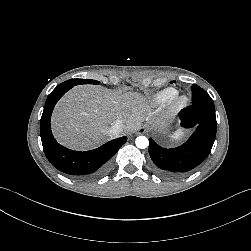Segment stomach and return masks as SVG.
Wrapping results in <instances>:
<instances>
[{
  "label": "stomach",
  "instance_id": "0dacf381",
  "mask_svg": "<svg viewBox=\"0 0 251 251\" xmlns=\"http://www.w3.org/2000/svg\"><path fill=\"white\" fill-rule=\"evenodd\" d=\"M181 134H182V133H181ZM181 134H180V135H181ZM180 135L174 134V135H173V138L177 139Z\"/></svg>",
  "mask_w": 251,
  "mask_h": 251
}]
</instances>
